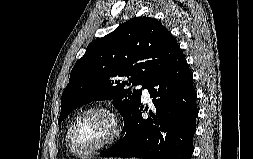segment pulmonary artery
<instances>
[{"label":"pulmonary artery","instance_id":"obj_1","mask_svg":"<svg viewBox=\"0 0 253 159\" xmlns=\"http://www.w3.org/2000/svg\"><path fill=\"white\" fill-rule=\"evenodd\" d=\"M137 89H141L142 90V95H143V100L144 101H149L150 96H149V91L148 88L146 87L145 84H139L136 86Z\"/></svg>","mask_w":253,"mask_h":159}]
</instances>
